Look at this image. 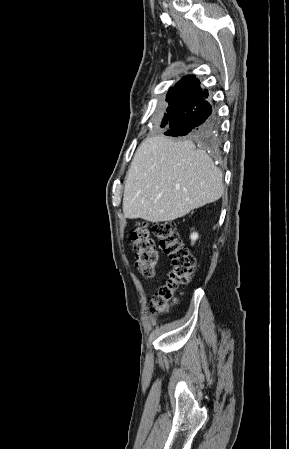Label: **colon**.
I'll return each mask as SVG.
<instances>
[{"label":"colon","mask_w":289,"mask_h":449,"mask_svg":"<svg viewBox=\"0 0 289 449\" xmlns=\"http://www.w3.org/2000/svg\"><path fill=\"white\" fill-rule=\"evenodd\" d=\"M152 230L162 250L171 260L167 280L151 300V311L161 314L166 311L176 292L189 283L195 268V258L181 240L175 223L158 222L153 225ZM130 238L136 252V268L145 278H152L158 263V252L148 225L138 224L131 231Z\"/></svg>","instance_id":"colon-1"}]
</instances>
